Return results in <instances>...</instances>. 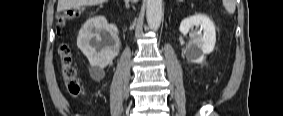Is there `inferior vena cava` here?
I'll return each mask as SVG.
<instances>
[{
  "label": "inferior vena cava",
  "instance_id": "inferior-vena-cava-1",
  "mask_svg": "<svg viewBox=\"0 0 283 116\" xmlns=\"http://www.w3.org/2000/svg\"><path fill=\"white\" fill-rule=\"evenodd\" d=\"M133 2H137V0H133Z\"/></svg>",
  "mask_w": 283,
  "mask_h": 116
}]
</instances>
